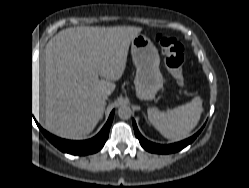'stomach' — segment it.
Listing matches in <instances>:
<instances>
[{
	"mask_svg": "<svg viewBox=\"0 0 249 188\" xmlns=\"http://www.w3.org/2000/svg\"><path fill=\"white\" fill-rule=\"evenodd\" d=\"M131 54L136 67V94L141 100L153 99L163 87L158 50L146 35L138 34L131 41Z\"/></svg>",
	"mask_w": 249,
	"mask_h": 188,
	"instance_id": "1",
	"label": "stomach"
}]
</instances>
